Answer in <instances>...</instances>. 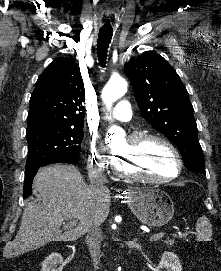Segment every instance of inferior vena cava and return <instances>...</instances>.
Instances as JSON below:
<instances>
[{
    "mask_svg": "<svg viewBox=\"0 0 221 271\" xmlns=\"http://www.w3.org/2000/svg\"><path fill=\"white\" fill-rule=\"evenodd\" d=\"M98 171L99 177H97L96 181H93V185H91V187L93 191L97 193L98 197H104L105 199V197H110L109 187H106L105 185V183H108V179H106L102 169H98ZM101 223L102 221H98V219H93L87 229L86 235V243L88 245L94 267H98L101 261Z\"/></svg>",
    "mask_w": 221,
    "mask_h": 271,
    "instance_id": "obj_1",
    "label": "inferior vena cava"
}]
</instances>
